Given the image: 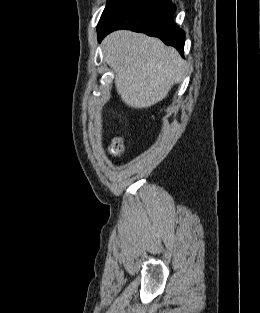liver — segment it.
Returning <instances> with one entry per match:
<instances>
[{"instance_id":"6515ba94","label":"liver","mask_w":260,"mask_h":313,"mask_svg":"<svg viewBox=\"0 0 260 313\" xmlns=\"http://www.w3.org/2000/svg\"><path fill=\"white\" fill-rule=\"evenodd\" d=\"M102 49L115 73L117 92L131 108L158 103L186 75V63L178 51L158 38L120 30L103 40Z\"/></svg>"}]
</instances>
